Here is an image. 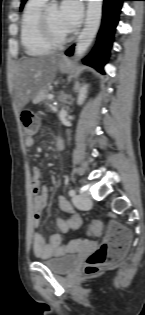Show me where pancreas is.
Segmentation results:
<instances>
[{"mask_svg":"<svg viewBox=\"0 0 145 315\" xmlns=\"http://www.w3.org/2000/svg\"><path fill=\"white\" fill-rule=\"evenodd\" d=\"M49 95V89H42V91L38 94V99H41L42 101H47V97Z\"/></svg>","mask_w":145,"mask_h":315,"instance_id":"1","label":"pancreas"}]
</instances>
